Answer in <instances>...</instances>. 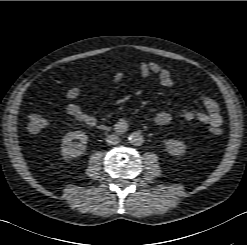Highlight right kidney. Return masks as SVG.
Instances as JSON below:
<instances>
[{
    "label": "right kidney",
    "mask_w": 247,
    "mask_h": 245,
    "mask_svg": "<svg viewBox=\"0 0 247 245\" xmlns=\"http://www.w3.org/2000/svg\"><path fill=\"white\" fill-rule=\"evenodd\" d=\"M78 140L79 142H73ZM88 136L80 130L67 133L61 144V154L64 158L79 157L86 151Z\"/></svg>",
    "instance_id": "obj_1"
}]
</instances>
